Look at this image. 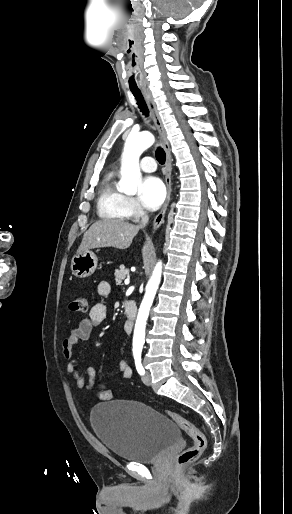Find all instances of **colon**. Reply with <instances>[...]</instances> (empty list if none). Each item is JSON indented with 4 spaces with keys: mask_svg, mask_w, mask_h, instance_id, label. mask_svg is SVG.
Segmentation results:
<instances>
[{
    "mask_svg": "<svg viewBox=\"0 0 292 514\" xmlns=\"http://www.w3.org/2000/svg\"><path fill=\"white\" fill-rule=\"evenodd\" d=\"M88 310V302L83 297H78L70 301L69 311L72 313H83ZM98 397L103 401L113 399V393L110 388L101 386L98 389ZM171 418L187 435L191 438L192 444L183 449L179 456V464H186L197 460L206 449V436L205 434L190 420L177 412H167Z\"/></svg>",
    "mask_w": 292,
    "mask_h": 514,
    "instance_id": "obj_1",
    "label": "colon"
}]
</instances>
